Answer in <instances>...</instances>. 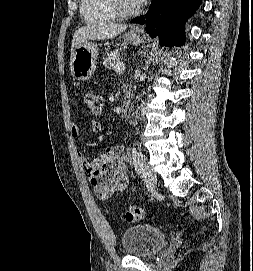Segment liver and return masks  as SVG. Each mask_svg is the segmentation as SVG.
<instances>
[{
	"instance_id": "1",
	"label": "liver",
	"mask_w": 253,
	"mask_h": 271,
	"mask_svg": "<svg viewBox=\"0 0 253 271\" xmlns=\"http://www.w3.org/2000/svg\"><path fill=\"white\" fill-rule=\"evenodd\" d=\"M127 29L126 24H93L87 25L85 27L79 28L75 31L73 40L71 54L74 49L81 43L87 42L89 40H104L110 39Z\"/></svg>"
}]
</instances>
